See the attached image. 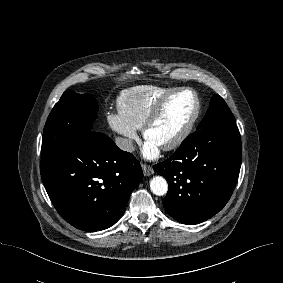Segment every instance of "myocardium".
Returning <instances> with one entry per match:
<instances>
[{
	"mask_svg": "<svg viewBox=\"0 0 283 283\" xmlns=\"http://www.w3.org/2000/svg\"><path fill=\"white\" fill-rule=\"evenodd\" d=\"M188 92L190 93L195 101V109L190 117V119L188 120V122L186 123V125L182 128V130L173 138L171 139L169 142H167L166 144L161 146V149L165 150V151H169L172 150L176 147H178L179 145H181L191 134V132L193 131L200 113H201V102H200V98L197 95V93L190 88H178V89H174L173 91H171L170 93H168L165 97H163L152 109V111L150 112V114L148 115V117L146 118L143 126H142V133L144 138H147L148 135V131L149 129L152 127V125L155 123V121L158 119V117L161 115V113L163 112V110L165 109V107L167 106V104L178 94L181 93H185Z\"/></svg>",
	"mask_w": 283,
	"mask_h": 283,
	"instance_id": "f54148a6",
	"label": "myocardium"
}]
</instances>
